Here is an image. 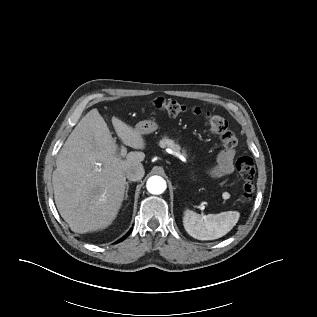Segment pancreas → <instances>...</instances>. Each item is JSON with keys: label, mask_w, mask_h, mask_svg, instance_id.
Returning a JSON list of instances; mask_svg holds the SVG:
<instances>
[{"label": "pancreas", "mask_w": 317, "mask_h": 317, "mask_svg": "<svg viewBox=\"0 0 317 317\" xmlns=\"http://www.w3.org/2000/svg\"><path fill=\"white\" fill-rule=\"evenodd\" d=\"M160 147L165 148L168 147L170 149H172L175 153H180V146L177 145L173 140L168 139V138H164L163 140L160 141L159 143ZM183 155L185 154V151H183L182 153Z\"/></svg>", "instance_id": "1"}]
</instances>
